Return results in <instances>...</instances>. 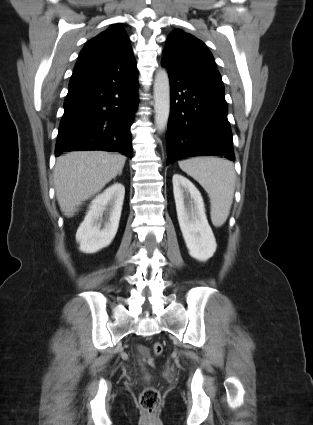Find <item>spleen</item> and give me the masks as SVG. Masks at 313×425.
<instances>
[{"mask_svg":"<svg viewBox=\"0 0 313 425\" xmlns=\"http://www.w3.org/2000/svg\"><path fill=\"white\" fill-rule=\"evenodd\" d=\"M179 167L193 177L208 193L211 221L222 226L230 213L236 174L232 162L218 157H195L179 161Z\"/></svg>","mask_w":313,"mask_h":425,"instance_id":"spleen-1","label":"spleen"}]
</instances>
